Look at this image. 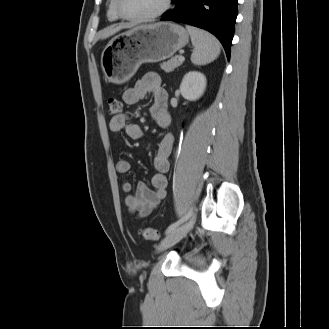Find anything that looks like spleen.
Listing matches in <instances>:
<instances>
[{
	"mask_svg": "<svg viewBox=\"0 0 329 329\" xmlns=\"http://www.w3.org/2000/svg\"><path fill=\"white\" fill-rule=\"evenodd\" d=\"M194 50L191 55V61L194 65H206L214 61L220 54V43L219 41L207 31L186 26Z\"/></svg>",
	"mask_w": 329,
	"mask_h": 329,
	"instance_id": "1",
	"label": "spleen"
}]
</instances>
